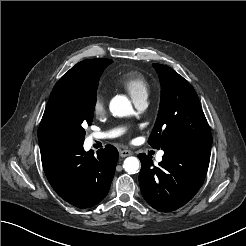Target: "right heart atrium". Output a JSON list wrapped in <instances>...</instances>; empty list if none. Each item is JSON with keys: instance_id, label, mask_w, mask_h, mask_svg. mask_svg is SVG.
Masks as SVG:
<instances>
[{"instance_id": "right-heart-atrium-1", "label": "right heart atrium", "mask_w": 246, "mask_h": 246, "mask_svg": "<svg viewBox=\"0 0 246 246\" xmlns=\"http://www.w3.org/2000/svg\"><path fill=\"white\" fill-rule=\"evenodd\" d=\"M107 102L101 93H97L93 103V113L95 116H101L106 111Z\"/></svg>"}]
</instances>
